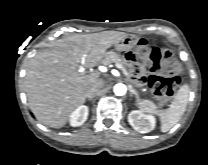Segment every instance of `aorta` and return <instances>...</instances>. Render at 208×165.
Listing matches in <instances>:
<instances>
[{
  "mask_svg": "<svg viewBox=\"0 0 208 165\" xmlns=\"http://www.w3.org/2000/svg\"><path fill=\"white\" fill-rule=\"evenodd\" d=\"M113 91L117 96H123L126 94L127 87L122 83H118L114 86Z\"/></svg>",
  "mask_w": 208,
  "mask_h": 165,
  "instance_id": "762f6f07",
  "label": "aorta"
}]
</instances>
